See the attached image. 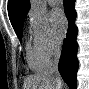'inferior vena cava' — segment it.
I'll use <instances>...</instances> for the list:
<instances>
[{
  "mask_svg": "<svg viewBox=\"0 0 89 89\" xmlns=\"http://www.w3.org/2000/svg\"><path fill=\"white\" fill-rule=\"evenodd\" d=\"M60 49H61V42L58 41L55 43V46H54V63L50 69V74L56 78H58V75H59L58 61H59V57H60Z\"/></svg>",
  "mask_w": 89,
  "mask_h": 89,
  "instance_id": "obj_1",
  "label": "inferior vena cava"
}]
</instances>
